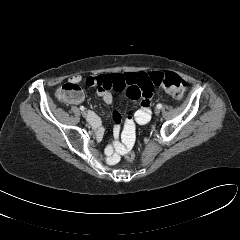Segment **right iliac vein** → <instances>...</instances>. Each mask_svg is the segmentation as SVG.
<instances>
[{
    "instance_id": "1",
    "label": "right iliac vein",
    "mask_w": 240,
    "mask_h": 240,
    "mask_svg": "<svg viewBox=\"0 0 240 240\" xmlns=\"http://www.w3.org/2000/svg\"><path fill=\"white\" fill-rule=\"evenodd\" d=\"M82 116H83L84 118H86V117H87V112H86V111H82Z\"/></svg>"
}]
</instances>
